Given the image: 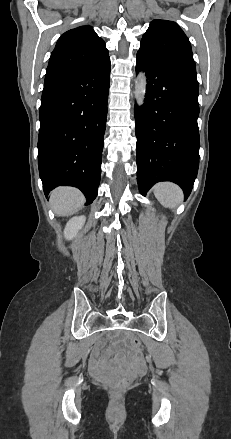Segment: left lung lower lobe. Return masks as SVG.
<instances>
[{"label":"left lung lower lobe","mask_w":231,"mask_h":439,"mask_svg":"<svg viewBox=\"0 0 231 439\" xmlns=\"http://www.w3.org/2000/svg\"><path fill=\"white\" fill-rule=\"evenodd\" d=\"M140 70L148 78L145 102L134 109L140 193L145 195L157 182L171 181L187 198L199 166L196 69L137 53L136 72Z\"/></svg>","instance_id":"obj_1"}]
</instances>
